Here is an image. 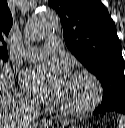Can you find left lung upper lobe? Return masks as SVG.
Listing matches in <instances>:
<instances>
[{"label": "left lung upper lobe", "mask_w": 125, "mask_h": 128, "mask_svg": "<svg viewBox=\"0 0 125 128\" xmlns=\"http://www.w3.org/2000/svg\"><path fill=\"white\" fill-rule=\"evenodd\" d=\"M48 5L60 16L71 53L99 79L101 104L125 96L121 43L105 6L98 0H49Z\"/></svg>", "instance_id": "left-lung-upper-lobe-1"}]
</instances>
